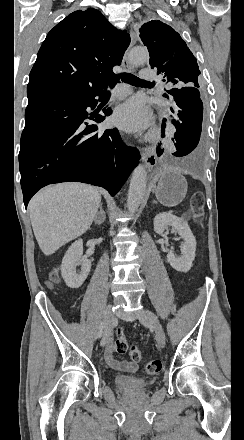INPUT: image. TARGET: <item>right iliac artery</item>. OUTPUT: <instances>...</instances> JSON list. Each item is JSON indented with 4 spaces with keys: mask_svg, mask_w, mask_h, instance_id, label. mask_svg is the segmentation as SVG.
I'll return each instance as SVG.
<instances>
[{
    "mask_svg": "<svg viewBox=\"0 0 244 440\" xmlns=\"http://www.w3.org/2000/svg\"><path fill=\"white\" fill-rule=\"evenodd\" d=\"M105 321H103L100 325L99 331H98V337L101 338L102 333H103V329L105 328Z\"/></svg>",
    "mask_w": 244,
    "mask_h": 440,
    "instance_id": "82829eb1",
    "label": "right iliac artery"
}]
</instances>
